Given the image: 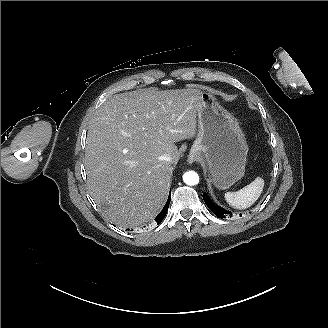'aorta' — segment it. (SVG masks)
<instances>
[{"label": "aorta", "instance_id": "762f6f07", "mask_svg": "<svg viewBox=\"0 0 328 328\" xmlns=\"http://www.w3.org/2000/svg\"><path fill=\"white\" fill-rule=\"evenodd\" d=\"M183 181L187 185L194 186L199 183V176L194 171H187L183 175Z\"/></svg>", "mask_w": 328, "mask_h": 328}]
</instances>
